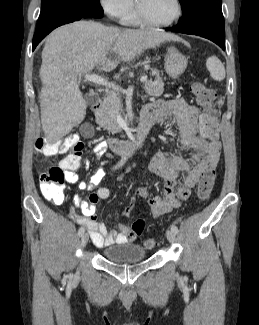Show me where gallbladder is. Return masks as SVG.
I'll list each match as a JSON object with an SVG mask.
<instances>
[{
	"label": "gallbladder",
	"instance_id": "gallbladder-1",
	"mask_svg": "<svg viewBox=\"0 0 259 325\" xmlns=\"http://www.w3.org/2000/svg\"><path fill=\"white\" fill-rule=\"evenodd\" d=\"M97 96L93 93H89L85 95V101L87 105H92L96 102ZM93 131V122L85 121L82 126V138L83 139H94L95 133Z\"/></svg>",
	"mask_w": 259,
	"mask_h": 325
}]
</instances>
